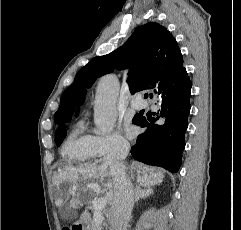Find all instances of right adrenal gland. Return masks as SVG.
<instances>
[{
    "label": "right adrenal gland",
    "mask_w": 241,
    "mask_h": 230,
    "mask_svg": "<svg viewBox=\"0 0 241 230\" xmlns=\"http://www.w3.org/2000/svg\"><path fill=\"white\" fill-rule=\"evenodd\" d=\"M153 189L151 187H143L139 185L136 188L135 192V202H138L140 199H146L149 196L153 195Z\"/></svg>",
    "instance_id": "1"
}]
</instances>
